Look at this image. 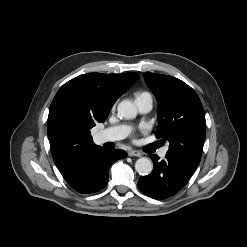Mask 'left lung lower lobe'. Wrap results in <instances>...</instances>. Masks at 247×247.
<instances>
[{
  "instance_id": "obj_1",
  "label": "left lung lower lobe",
  "mask_w": 247,
  "mask_h": 247,
  "mask_svg": "<svg viewBox=\"0 0 247 247\" xmlns=\"http://www.w3.org/2000/svg\"><path fill=\"white\" fill-rule=\"evenodd\" d=\"M153 171L140 177L139 189L152 198L165 199L176 194L194 174L197 167L185 160L166 154V159L159 161L157 155H151Z\"/></svg>"
}]
</instances>
